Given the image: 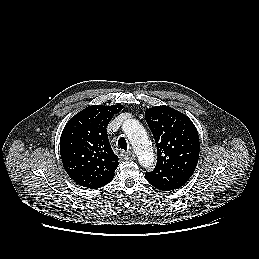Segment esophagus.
Masks as SVG:
<instances>
[{
  "label": "esophagus",
  "instance_id": "esophagus-1",
  "mask_svg": "<svg viewBox=\"0 0 259 259\" xmlns=\"http://www.w3.org/2000/svg\"><path fill=\"white\" fill-rule=\"evenodd\" d=\"M121 156L125 160H132L135 158V154L132 151L129 152H122Z\"/></svg>",
  "mask_w": 259,
  "mask_h": 259
}]
</instances>
